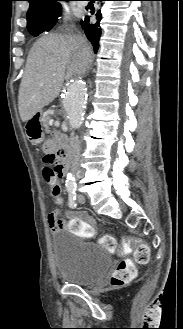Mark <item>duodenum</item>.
<instances>
[{
    "label": "duodenum",
    "mask_w": 183,
    "mask_h": 329,
    "mask_svg": "<svg viewBox=\"0 0 183 329\" xmlns=\"http://www.w3.org/2000/svg\"><path fill=\"white\" fill-rule=\"evenodd\" d=\"M61 146L59 147L58 154L60 157V164L63 169H66L70 162V148L60 140Z\"/></svg>",
    "instance_id": "duodenum-1"
}]
</instances>
